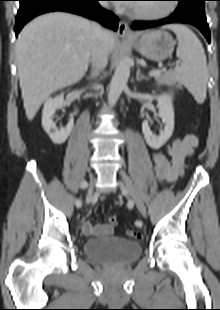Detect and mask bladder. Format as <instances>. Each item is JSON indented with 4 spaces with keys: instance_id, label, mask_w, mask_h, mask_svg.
<instances>
[{
    "instance_id": "31cf9c89",
    "label": "bladder",
    "mask_w": 220,
    "mask_h": 310,
    "mask_svg": "<svg viewBox=\"0 0 220 310\" xmlns=\"http://www.w3.org/2000/svg\"><path fill=\"white\" fill-rule=\"evenodd\" d=\"M85 255L104 265H129L141 256L140 243L122 237L94 238L83 243Z\"/></svg>"
}]
</instances>
